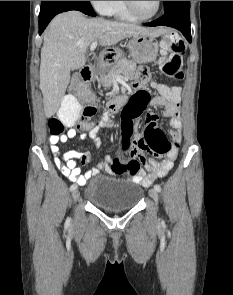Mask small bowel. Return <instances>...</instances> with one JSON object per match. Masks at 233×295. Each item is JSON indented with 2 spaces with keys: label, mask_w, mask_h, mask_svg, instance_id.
Masks as SVG:
<instances>
[{
  "label": "small bowel",
  "mask_w": 233,
  "mask_h": 295,
  "mask_svg": "<svg viewBox=\"0 0 233 295\" xmlns=\"http://www.w3.org/2000/svg\"><path fill=\"white\" fill-rule=\"evenodd\" d=\"M149 71L146 68H141L137 72L136 86L140 87L149 79ZM180 95L175 97H167L161 94L155 96L152 100L148 92L144 89L137 91L130 99L125 112L129 114L134 124L138 122L141 112L145 109L149 102L154 106H161L164 108L162 116L168 119L169 126L172 130L169 132L170 139L173 143L170 152L160 161L155 158H150L145 164L144 169L133 176L132 180L144 187L149 186L157 178L164 177L173 167L174 161L177 158L179 145L181 141V118H180ZM159 116L155 113H150L146 117V125L156 127ZM113 125L111 113L107 110L99 123L95 126H86L80 123L77 127H70L66 133L58 136H51L49 139L50 150L54 155V160L60 171L68 177L71 181L84 185L86 180L95 177L100 171L111 175L113 171L109 167L110 158L106 159L99 165L98 168L88 170L84 175L81 174V169L77 165V160H80L82 165H86L90 161L89 152L69 151L61 154L58 143H66L69 139L77 137L79 132L80 139L90 138L95 146H99L100 141L98 133L105 127Z\"/></svg>",
  "instance_id": "c3829d8e"
}]
</instances>
